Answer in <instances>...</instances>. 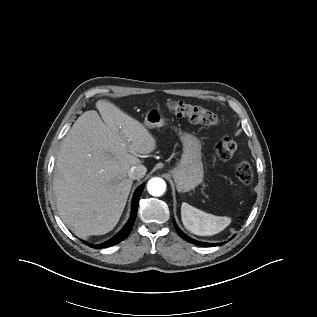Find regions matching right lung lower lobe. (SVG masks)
<instances>
[{
	"label": "right lung lower lobe",
	"mask_w": 317,
	"mask_h": 317,
	"mask_svg": "<svg viewBox=\"0 0 317 317\" xmlns=\"http://www.w3.org/2000/svg\"><path fill=\"white\" fill-rule=\"evenodd\" d=\"M144 188V184L140 185L138 187V189L136 190L134 196H133V201H132V211H131V217L130 220L128 221V223L126 224V226L118 233L116 234L112 239L106 241L103 244L100 245H91L86 243L85 241H82L84 244H87L88 246L92 247V248H107L113 245L118 244L119 242L123 241L125 238L128 237V235L130 234L135 218H136V214H137V209H138V203H139V198L140 195L143 191Z\"/></svg>",
	"instance_id": "right-lung-lower-lobe-1"
}]
</instances>
